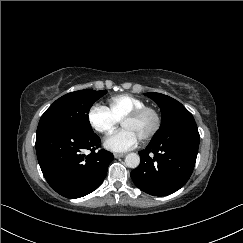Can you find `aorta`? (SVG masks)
<instances>
[{
	"mask_svg": "<svg viewBox=\"0 0 243 243\" xmlns=\"http://www.w3.org/2000/svg\"><path fill=\"white\" fill-rule=\"evenodd\" d=\"M125 164L129 168H137L140 164V157L136 153H129L125 157Z\"/></svg>",
	"mask_w": 243,
	"mask_h": 243,
	"instance_id": "1",
	"label": "aorta"
}]
</instances>
